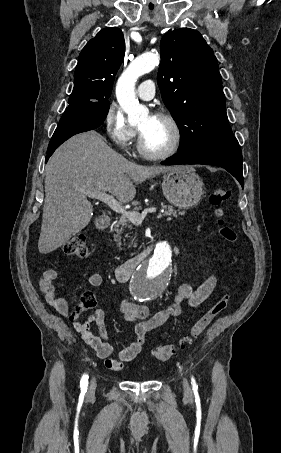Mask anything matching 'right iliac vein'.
Listing matches in <instances>:
<instances>
[{
  "label": "right iliac vein",
  "mask_w": 281,
  "mask_h": 453,
  "mask_svg": "<svg viewBox=\"0 0 281 453\" xmlns=\"http://www.w3.org/2000/svg\"><path fill=\"white\" fill-rule=\"evenodd\" d=\"M92 381H93V382L91 383L92 386L89 388V391H90L91 393H94V392L96 391V388H95V387H96V386H95L96 383H95V382H96L97 380L94 378Z\"/></svg>",
  "instance_id": "1"
}]
</instances>
